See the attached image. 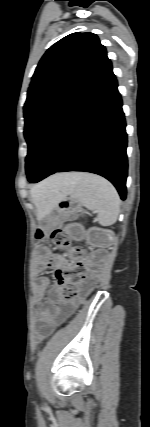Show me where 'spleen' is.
I'll list each match as a JSON object with an SVG mask.
<instances>
[{
	"mask_svg": "<svg viewBox=\"0 0 150 427\" xmlns=\"http://www.w3.org/2000/svg\"><path fill=\"white\" fill-rule=\"evenodd\" d=\"M61 189L50 188L56 196L70 195L87 209L96 212L101 226H111L120 212V198L114 186L105 178L89 173H72Z\"/></svg>",
	"mask_w": 150,
	"mask_h": 427,
	"instance_id": "1",
	"label": "spleen"
}]
</instances>
